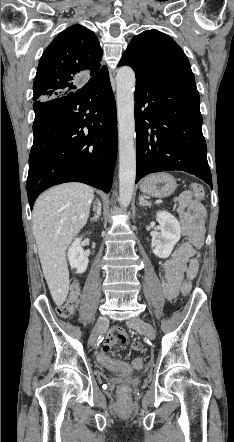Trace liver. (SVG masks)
Masks as SVG:
<instances>
[{
  "instance_id": "obj_1",
  "label": "liver",
  "mask_w": 234,
  "mask_h": 442,
  "mask_svg": "<svg viewBox=\"0 0 234 442\" xmlns=\"http://www.w3.org/2000/svg\"><path fill=\"white\" fill-rule=\"evenodd\" d=\"M94 190L82 183H65L40 195L33 208V234L53 301L61 306L69 291L66 249L85 226Z\"/></svg>"
}]
</instances>
